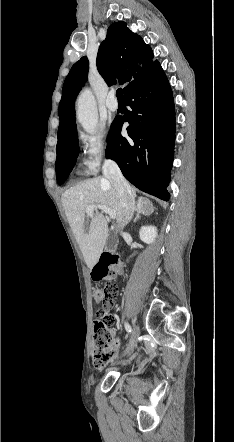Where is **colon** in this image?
<instances>
[{"label":"colon","mask_w":234,"mask_h":442,"mask_svg":"<svg viewBox=\"0 0 234 442\" xmlns=\"http://www.w3.org/2000/svg\"><path fill=\"white\" fill-rule=\"evenodd\" d=\"M123 265L116 255L105 253L100 257L98 263L92 270V277L95 281L103 282V286L94 289L93 298L97 303H101L103 308L98 314H111L108 308L114 304L118 287L116 276L122 270ZM116 355V345L114 342L112 328H105L100 331L94 328L93 363L98 368H103ZM138 352L137 358H140Z\"/></svg>","instance_id":"1"}]
</instances>
